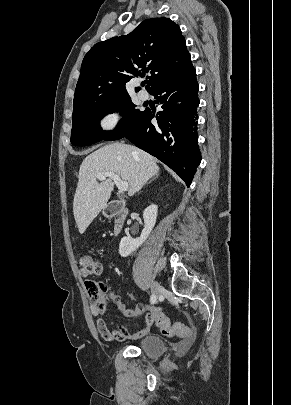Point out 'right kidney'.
Here are the masks:
<instances>
[{"label": "right kidney", "mask_w": 291, "mask_h": 405, "mask_svg": "<svg viewBox=\"0 0 291 405\" xmlns=\"http://www.w3.org/2000/svg\"><path fill=\"white\" fill-rule=\"evenodd\" d=\"M158 207L155 204L148 206L143 212L144 229L139 238L132 239L123 237L119 244V254L121 257H127L136 251L149 237L155 226Z\"/></svg>", "instance_id": "1"}]
</instances>
